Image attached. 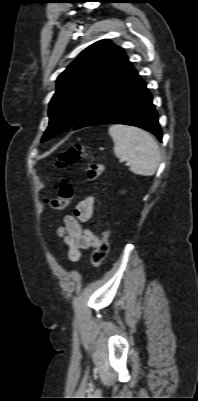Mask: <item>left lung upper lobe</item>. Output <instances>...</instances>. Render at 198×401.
Here are the masks:
<instances>
[{"label": "left lung upper lobe", "instance_id": "left-lung-upper-lobe-1", "mask_svg": "<svg viewBox=\"0 0 198 401\" xmlns=\"http://www.w3.org/2000/svg\"><path fill=\"white\" fill-rule=\"evenodd\" d=\"M128 60L110 40L90 45L57 80L49 104V126L41 142L73 127L91 101Z\"/></svg>", "mask_w": 198, "mask_h": 401}]
</instances>
